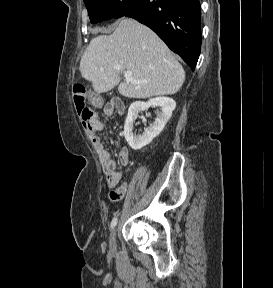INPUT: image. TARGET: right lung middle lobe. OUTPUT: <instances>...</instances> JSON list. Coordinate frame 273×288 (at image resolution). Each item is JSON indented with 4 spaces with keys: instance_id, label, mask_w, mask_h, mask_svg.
Listing matches in <instances>:
<instances>
[{
    "instance_id": "obj_1",
    "label": "right lung middle lobe",
    "mask_w": 273,
    "mask_h": 288,
    "mask_svg": "<svg viewBox=\"0 0 273 288\" xmlns=\"http://www.w3.org/2000/svg\"><path fill=\"white\" fill-rule=\"evenodd\" d=\"M136 0H84L91 23L122 17Z\"/></svg>"
}]
</instances>
